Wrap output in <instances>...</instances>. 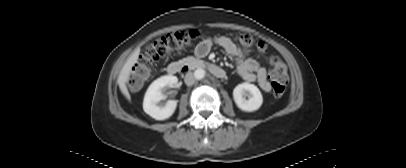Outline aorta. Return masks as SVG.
Masks as SVG:
<instances>
[{"label":"aorta","instance_id":"aorta-1","mask_svg":"<svg viewBox=\"0 0 406 168\" xmlns=\"http://www.w3.org/2000/svg\"><path fill=\"white\" fill-rule=\"evenodd\" d=\"M194 76H195V78H196L197 80L203 79L204 76H205V70L202 69V68H199V69L195 70Z\"/></svg>","mask_w":406,"mask_h":168}]
</instances>
